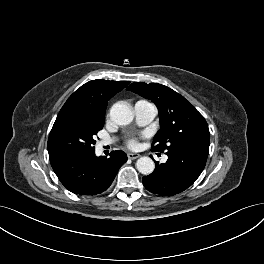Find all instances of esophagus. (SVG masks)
<instances>
[{
	"instance_id": "obj_1",
	"label": "esophagus",
	"mask_w": 264,
	"mask_h": 264,
	"mask_svg": "<svg viewBox=\"0 0 264 264\" xmlns=\"http://www.w3.org/2000/svg\"><path fill=\"white\" fill-rule=\"evenodd\" d=\"M127 156H128L129 159H132V160L137 159V158L140 157V155L137 154V153H128Z\"/></svg>"
}]
</instances>
